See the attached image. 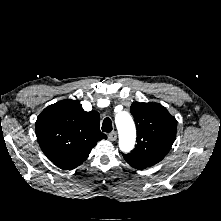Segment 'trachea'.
I'll use <instances>...</instances> for the list:
<instances>
[{
	"mask_svg": "<svg viewBox=\"0 0 221 221\" xmlns=\"http://www.w3.org/2000/svg\"><path fill=\"white\" fill-rule=\"evenodd\" d=\"M113 129L112 127V121L110 118H105L102 123V131L103 132H111Z\"/></svg>",
	"mask_w": 221,
	"mask_h": 221,
	"instance_id": "trachea-1",
	"label": "trachea"
}]
</instances>
